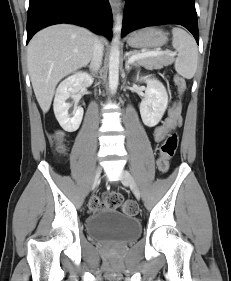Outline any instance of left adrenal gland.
Instances as JSON below:
<instances>
[{
    "label": "left adrenal gland",
    "mask_w": 231,
    "mask_h": 281,
    "mask_svg": "<svg viewBox=\"0 0 231 281\" xmlns=\"http://www.w3.org/2000/svg\"><path fill=\"white\" fill-rule=\"evenodd\" d=\"M132 66L133 65H131L129 63V61H128L127 57H126V62H125V69H126V71H130L132 69Z\"/></svg>",
    "instance_id": "1"
}]
</instances>
